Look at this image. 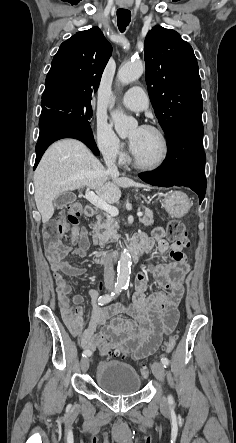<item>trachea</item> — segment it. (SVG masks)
Listing matches in <instances>:
<instances>
[{"label": "trachea", "instance_id": "trachea-1", "mask_svg": "<svg viewBox=\"0 0 236 443\" xmlns=\"http://www.w3.org/2000/svg\"><path fill=\"white\" fill-rule=\"evenodd\" d=\"M131 21V12L127 9H118L117 10V24L118 28L121 32L126 30V27L129 25Z\"/></svg>", "mask_w": 236, "mask_h": 443}]
</instances>
